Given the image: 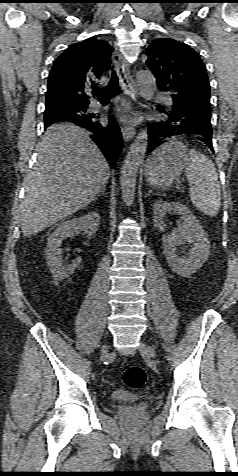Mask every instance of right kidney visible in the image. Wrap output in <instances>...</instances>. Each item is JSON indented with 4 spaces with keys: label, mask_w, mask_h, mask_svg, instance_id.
<instances>
[{
    "label": "right kidney",
    "mask_w": 238,
    "mask_h": 476,
    "mask_svg": "<svg viewBox=\"0 0 238 476\" xmlns=\"http://www.w3.org/2000/svg\"><path fill=\"white\" fill-rule=\"evenodd\" d=\"M99 224L100 218L98 213L91 212L62 223L51 234L45 249V255L47 264L50 266L55 279L62 280L68 278L81 263V258L77 257L71 264L63 265L62 249L60 248L62 241L80 231H83L88 236H93L97 232Z\"/></svg>",
    "instance_id": "right-kidney-1"
}]
</instances>
